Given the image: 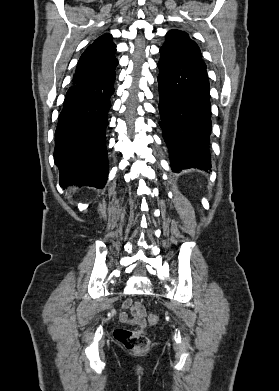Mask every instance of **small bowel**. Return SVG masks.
I'll return each mask as SVG.
<instances>
[{
    "instance_id": "c3829d8e",
    "label": "small bowel",
    "mask_w": 279,
    "mask_h": 391,
    "mask_svg": "<svg viewBox=\"0 0 279 391\" xmlns=\"http://www.w3.org/2000/svg\"><path fill=\"white\" fill-rule=\"evenodd\" d=\"M122 311L120 312V320L129 325L145 326V311L139 303H133L132 300L127 299L123 302ZM126 310H129L131 316H128Z\"/></svg>"
}]
</instances>
